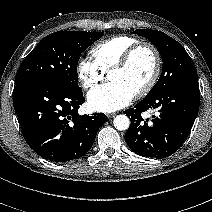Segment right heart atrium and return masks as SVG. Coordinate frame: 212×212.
Segmentation results:
<instances>
[{"label": "right heart atrium", "mask_w": 212, "mask_h": 212, "mask_svg": "<svg viewBox=\"0 0 212 212\" xmlns=\"http://www.w3.org/2000/svg\"><path fill=\"white\" fill-rule=\"evenodd\" d=\"M76 74L81 87L85 90L94 87L105 78V72L89 58H80L78 60Z\"/></svg>", "instance_id": "obj_1"}]
</instances>
